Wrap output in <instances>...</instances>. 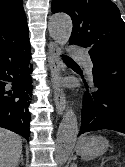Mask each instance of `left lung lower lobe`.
I'll use <instances>...</instances> for the list:
<instances>
[{"label": "left lung lower lobe", "mask_w": 125, "mask_h": 167, "mask_svg": "<svg viewBox=\"0 0 125 167\" xmlns=\"http://www.w3.org/2000/svg\"><path fill=\"white\" fill-rule=\"evenodd\" d=\"M93 81L84 93L78 135L101 129L125 133V74L104 68L93 71Z\"/></svg>", "instance_id": "1"}]
</instances>
